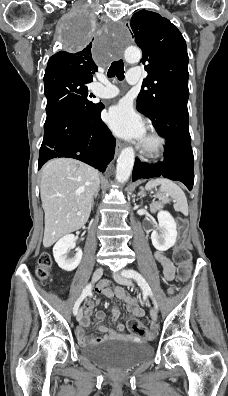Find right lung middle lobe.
I'll use <instances>...</instances> for the list:
<instances>
[{"label": "right lung middle lobe", "mask_w": 228, "mask_h": 396, "mask_svg": "<svg viewBox=\"0 0 228 396\" xmlns=\"http://www.w3.org/2000/svg\"><path fill=\"white\" fill-rule=\"evenodd\" d=\"M77 24L80 32L71 41L76 46H82L92 37L94 26L91 23H83L80 19H77ZM88 83L90 81L70 75L44 77L47 118L70 110L91 112L97 107L98 104L91 101L95 96L88 92Z\"/></svg>", "instance_id": "1"}]
</instances>
